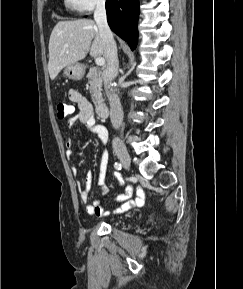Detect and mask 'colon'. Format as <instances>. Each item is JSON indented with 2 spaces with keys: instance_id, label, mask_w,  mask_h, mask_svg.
<instances>
[{
  "instance_id": "1",
  "label": "colon",
  "mask_w": 243,
  "mask_h": 289,
  "mask_svg": "<svg viewBox=\"0 0 243 289\" xmlns=\"http://www.w3.org/2000/svg\"><path fill=\"white\" fill-rule=\"evenodd\" d=\"M57 115L60 119H64L73 113V107L67 103L60 102L57 104Z\"/></svg>"
}]
</instances>
